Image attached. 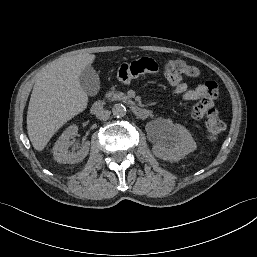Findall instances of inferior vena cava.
I'll return each mask as SVG.
<instances>
[{
    "instance_id": "inferior-vena-cava-1",
    "label": "inferior vena cava",
    "mask_w": 257,
    "mask_h": 257,
    "mask_svg": "<svg viewBox=\"0 0 257 257\" xmlns=\"http://www.w3.org/2000/svg\"><path fill=\"white\" fill-rule=\"evenodd\" d=\"M111 112L109 110L101 109L97 112L96 117L100 120H107L110 117Z\"/></svg>"
}]
</instances>
